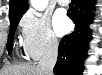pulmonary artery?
Segmentation results:
<instances>
[{"instance_id": "obj_1", "label": "pulmonary artery", "mask_w": 102, "mask_h": 75, "mask_svg": "<svg viewBox=\"0 0 102 75\" xmlns=\"http://www.w3.org/2000/svg\"><path fill=\"white\" fill-rule=\"evenodd\" d=\"M59 3L65 4L67 1L66 0H58Z\"/></svg>"}]
</instances>
